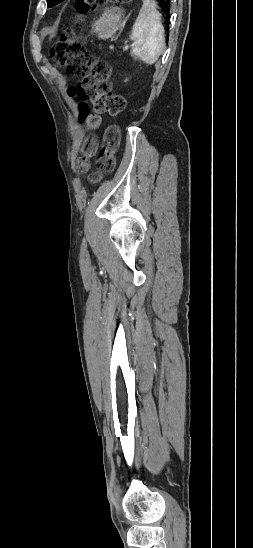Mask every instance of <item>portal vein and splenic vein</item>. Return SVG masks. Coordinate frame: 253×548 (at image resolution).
Here are the masks:
<instances>
[{"label": "portal vein and splenic vein", "mask_w": 253, "mask_h": 548, "mask_svg": "<svg viewBox=\"0 0 253 548\" xmlns=\"http://www.w3.org/2000/svg\"><path fill=\"white\" fill-rule=\"evenodd\" d=\"M129 48H130V45H125L123 49H124V50H127V49H129Z\"/></svg>", "instance_id": "1"}]
</instances>
